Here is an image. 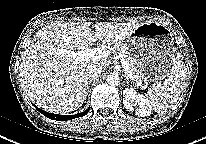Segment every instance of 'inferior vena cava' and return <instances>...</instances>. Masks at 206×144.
<instances>
[{
	"label": "inferior vena cava",
	"mask_w": 206,
	"mask_h": 144,
	"mask_svg": "<svg viewBox=\"0 0 206 144\" xmlns=\"http://www.w3.org/2000/svg\"><path fill=\"white\" fill-rule=\"evenodd\" d=\"M102 73V68L99 66H91L86 72V78L89 81H94L95 79L99 78Z\"/></svg>",
	"instance_id": "obj_1"
}]
</instances>
